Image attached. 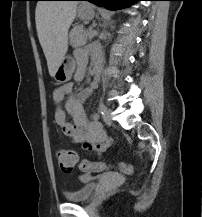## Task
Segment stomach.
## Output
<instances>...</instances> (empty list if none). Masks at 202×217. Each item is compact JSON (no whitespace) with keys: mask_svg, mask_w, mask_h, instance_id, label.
Listing matches in <instances>:
<instances>
[{"mask_svg":"<svg viewBox=\"0 0 202 217\" xmlns=\"http://www.w3.org/2000/svg\"><path fill=\"white\" fill-rule=\"evenodd\" d=\"M94 14V10L91 6H81L78 9V16L84 20L92 19L94 17ZM74 69V62L69 58H64L54 74V79L58 83H65L71 79Z\"/></svg>","mask_w":202,"mask_h":217,"instance_id":"obj_1","label":"stomach"}]
</instances>
